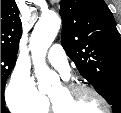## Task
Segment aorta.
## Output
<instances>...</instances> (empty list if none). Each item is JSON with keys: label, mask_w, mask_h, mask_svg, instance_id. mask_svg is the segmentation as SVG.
<instances>
[{"label": "aorta", "mask_w": 121, "mask_h": 113, "mask_svg": "<svg viewBox=\"0 0 121 113\" xmlns=\"http://www.w3.org/2000/svg\"><path fill=\"white\" fill-rule=\"evenodd\" d=\"M61 25L55 13L44 14L36 23L30 37L29 47L32 52L35 75L41 92L49 89V85L57 81V75L45 63L46 53L54 41Z\"/></svg>", "instance_id": "obj_1"}]
</instances>
